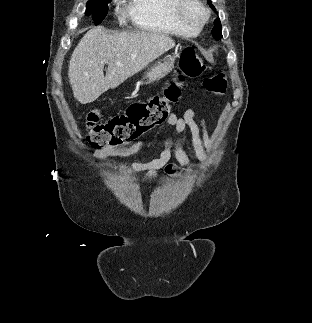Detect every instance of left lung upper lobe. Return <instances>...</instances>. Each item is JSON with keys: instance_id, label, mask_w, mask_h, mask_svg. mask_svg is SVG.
Listing matches in <instances>:
<instances>
[{"instance_id": "obj_1", "label": "left lung upper lobe", "mask_w": 312, "mask_h": 323, "mask_svg": "<svg viewBox=\"0 0 312 323\" xmlns=\"http://www.w3.org/2000/svg\"><path fill=\"white\" fill-rule=\"evenodd\" d=\"M210 8H212L213 10H216L214 5L212 4L211 0H207ZM221 23H220V20L219 18H217L215 20V26L213 28V37L217 40H219L220 38H222V33H221Z\"/></svg>"}]
</instances>
